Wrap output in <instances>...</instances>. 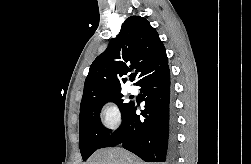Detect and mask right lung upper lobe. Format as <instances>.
Masks as SVG:
<instances>
[{"label": "right lung upper lobe", "instance_id": "1", "mask_svg": "<svg viewBox=\"0 0 251 164\" xmlns=\"http://www.w3.org/2000/svg\"><path fill=\"white\" fill-rule=\"evenodd\" d=\"M168 63L166 50L157 31L141 16H130L120 33L91 64L84 84L80 108L96 99L121 91L135 69L137 85L147 74Z\"/></svg>", "mask_w": 251, "mask_h": 164}]
</instances>
